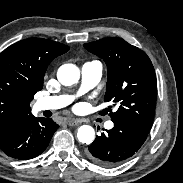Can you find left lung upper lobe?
<instances>
[{
    "instance_id": "left-lung-upper-lobe-1",
    "label": "left lung upper lobe",
    "mask_w": 183,
    "mask_h": 183,
    "mask_svg": "<svg viewBox=\"0 0 183 183\" xmlns=\"http://www.w3.org/2000/svg\"><path fill=\"white\" fill-rule=\"evenodd\" d=\"M107 64L105 102L115 106L103 109L112 121L127 120L150 130L157 97V80L151 60L145 52L118 37L84 44Z\"/></svg>"
}]
</instances>
